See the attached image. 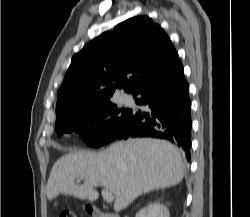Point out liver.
Returning <instances> with one entry per match:
<instances>
[{
	"label": "liver",
	"mask_w": 250,
	"mask_h": 217,
	"mask_svg": "<svg viewBox=\"0 0 250 217\" xmlns=\"http://www.w3.org/2000/svg\"><path fill=\"white\" fill-rule=\"evenodd\" d=\"M184 164L177 147L165 140H122L102 152L73 151L53 165L47 182L48 200L59 194L95 201L98 186L115 196L114 210L127 208L137 197L180 183ZM84 179L83 185L75 179Z\"/></svg>",
	"instance_id": "1"
}]
</instances>
